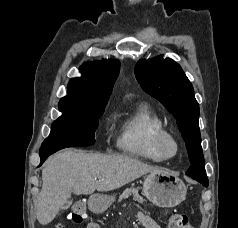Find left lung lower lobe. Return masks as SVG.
I'll list each match as a JSON object with an SVG mask.
<instances>
[{"label":"left lung lower lobe","instance_id":"0a47b994","mask_svg":"<svg viewBox=\"0 0 238 228\" xmlns=\"http://www.w3.org/2000/svg\"><path fill=\"white\" fill-rule=\"evenodd\" d=\"M186 174L189 175L188 173H186ZM189 176L192 177L193 179H195L196 181L202 183L205 187L208 186L207 176H204V175H193V174H190Z\"/></svg>","mask_w":238,"mask_h":228}]
</instances>
